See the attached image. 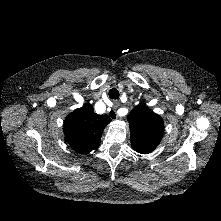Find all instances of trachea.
<instances>
[{
	"instance_id": "obj_1",
	"label": "trachea",
	"mask_w": 221,
	"mask_h": 221,
	"mask_svg": "<svg viewBox=\"0 0 221 221\" xmlns=\"http://www.w3.org/2000/svg\"><path fill=\"white\" fill-rule=\"evenodd\" d=\"M108 95L111 99H117L119 98V91L116 88H112L109 90Z\"/></svg>"
}]
</instances>
